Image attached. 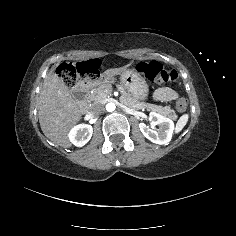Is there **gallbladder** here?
<instances>
[{
    "mask_svg": "<svg viewBox=\"0 0 236 236\" xmlns=\"http://www.w3.org/2000/svg\"><path fill=\"white\" fill-rule=\"evenodd\" d=\"M57 68V65L54 66V70Z\"/></svg>",
    "mask_w": 236,
    "mask_h": 236,
    "instance_id": "bac80fb5",
    "label": "gallbladder"
}]
</instances>
